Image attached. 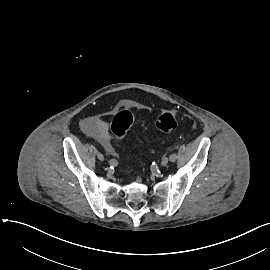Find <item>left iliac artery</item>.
I'll return each mask as SVG.
<instances>
[{
  "mask_svg": "<svg viewBox=\"0 0 270 270\" xmlns=\"http://www.w3.org/2000/svg\"><path fill=\"white\" fill-rule=\"evenodd\" d=\"M169 159H170L171 162H175L177 160V155L172 154V155H170Z\"/></svg>",
  "mask_w": 270,
  "mask_h": 270,
  "instance_id": "left-iliac-artery-1",
  "label": "left iliac artery"
}]
</instances>
